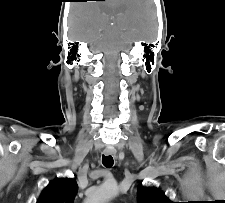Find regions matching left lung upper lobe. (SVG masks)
Masks as SVG:
<instances>
[{
	"label": "left lung upper lobe",
	"mask_w": 225,
	"mask_h": 203,
	"mask_svg": "<svg viewBox=\"0 0 225 203\" xmlns=\"http://www.w3.org/2000/svg\"><path fill=\"white\" fill-rule=\"evenodd\" d=\"M138 203H173L154 187H141L137 192Z\"/></svg>",
	"instance_id": "1"
}]
</instances>
